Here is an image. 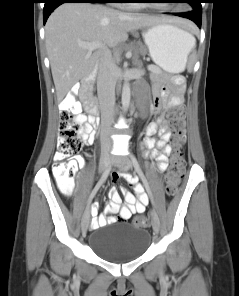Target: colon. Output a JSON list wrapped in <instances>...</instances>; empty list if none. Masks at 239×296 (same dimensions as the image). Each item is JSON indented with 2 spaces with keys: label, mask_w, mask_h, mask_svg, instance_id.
Wrapping results in <instances>:
<instances>
[{
  "label": "colon",
  "mask_w": 239,
  "mask_h": 296,
  "mask_svg": "<svg viewBox=\"0 0 239 296\" xmlns=\"http://www.w3.org/2000/svg\"><path fill=\"white\" fill-rule=\"evenodd\" d=\"M175 79L183 80L180 77ZM78 105L72 97H67L61 102L59 113L58 151L55 154L54 175L60 190L69 195L72 192L74 177L78 167L77 155L82 149L83 141L79 135L81 124L75 119ZM173 127L172 145L174 152L170 160L168 171L164 178L166 194L174 197L180 185L181 176L185 168V108L176 105L169 113ZM137 226H146L148 217L137 215L132 220Z\"/></svg>",
  "instance_id": "colon-1"
}]
</instances>
